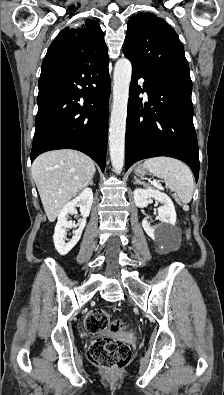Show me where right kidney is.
Here are the masks:
<instances>
[{
	"label": "right kidney",
	"mask_w": 224,
	"mask_h": 395,
	"mask_svg": "<svg viewBox=\"0 0 224 395\" xmlns=\"http://www.w3.org/2000/svg\"><path fill=\"white\" fill-rule=\"evenodd\" d=\"M92 203V189L86 188L82 191V193H80L62 208L58 215V221L53 235L55 249L60 255L68 254L80 240L82 232L86 226V218L90 214ZM77 206L80 207L82 219L80 220L78 228L74 231V236L69 242L66 243L64 240L66 229L72 228V222L67 220V216L69 214H73L75 212V207Z\"/></svg>",
	"instance_id": "right-kidney-1"
}]
</instances>
